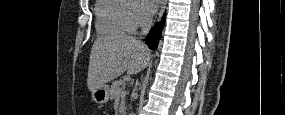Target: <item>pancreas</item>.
<instances>
[{"mask_svg": "<svg viewBox=\"0 0 285 115\" xmlns=\"http://www.w3.org/2000/svg\"><path fill=\"white\" fill-rule=\"evenodd\" d=\"M122 83L120 81H114L110 88L111 98L116 99L120 96L121 88L120 86Z\"/></svg>", "mask_w": 285, "mask_h": 115, "instance_id": "1", "label": "pancreas"}]
</instances>
